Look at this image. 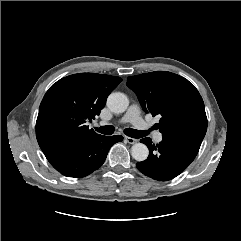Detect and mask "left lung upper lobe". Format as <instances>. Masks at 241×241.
I'll return each mask as SVG.
<instances>
[{"instance_id": "left-lung-upper-lobe-1", "label": "left lung upper lobe", "mask_w": 241, "mask_h": 241, "mask_svg": "<svg viewBox=\"0 0 241 241\" xmlns=\"http://www.w3.org/2000/svg\"><path fill=\"white\" fill-rule=\"evenodd\" d=\"M127 86L137 95L143 110L160 115L162 136L204 138L205 107L198 90L187 79L166 71L128 77Z\"/></svg>"}]
</instances>
